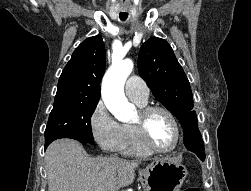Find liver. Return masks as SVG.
<instances>
[{"instance_id":"obj_1","label":"liver","mask_w":251,"mask_h":191,"mask_svg":"<svg viewBox=\"0 0 251 191\" xmlns=\"http://www.w3.org/2000/svg\"><path fill=\"white\" fill-rule=\"evenodd\" d=\"M48 191H117L135 179L138 159L89 157L76 139H56L45 153Z\"/></svg>"}]
</instances>
